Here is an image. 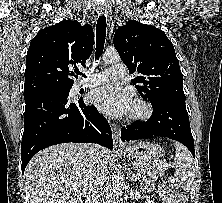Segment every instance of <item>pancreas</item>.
<instances>
[{
  "mask_svg": "<svg viewBox=\"0 0 222 203\" xmlns=\"http://www.w3.org/2000/svg\"><path fill=\"white\" fill-rule=\"evenodd\" d=\"M136 175L138 177L150 176L152 178L162 177L165 174L166 166L162 162L142 160L136 163Z\"/></svg>",
  "mask_w": 222,
  "mask_h": 203,
  "instance_id": "1",
  "label": "pancreas"
}]
</instances>
